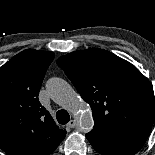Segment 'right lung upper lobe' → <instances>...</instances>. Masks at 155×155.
Segmentation results:
<instances>
[{
    "label": "right lung upper lobe",
    "mask_w": 155,
    "mask_h": 155,
    "mask_svg": "<svg viewBox=\"0 0 155 155\" xmlns=\"http://www.w3.org/2000/svg\"><path fill=\"white\" fill-rule=\"evenodd\" d=\"M54 56L27 49L0 67V148L7 155H49L66 135L38 100Z\"/></svg>",
    "instance_id": "cb5924a9"
}]
</instances>
